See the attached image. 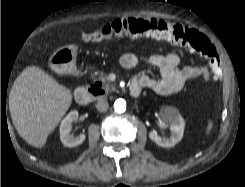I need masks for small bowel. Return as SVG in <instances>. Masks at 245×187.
<instances>
[{"label":"small bowel","instance_id":"1","mask_svg":"<svg viewBox=\"0 0 245 187\" xmlns=\"http://www.w3.org/2000/svg\"><path fill=\"white\" fill-rule=\"evenodd\" d=\"M149 64L158 69L160 77L155 79L148 75L134 74L131 86L139 87L140 91L147 88L159 95H170L182 89L191 79L208 81L209 71L204 66H187L180 68L179 56L175 53L154 55L148 60ZM138 57L132 53H125L120 58V64L125 69H134L138 66Z\"/></svg>","mask_w":245,"mask_h":187}]
</instances>
